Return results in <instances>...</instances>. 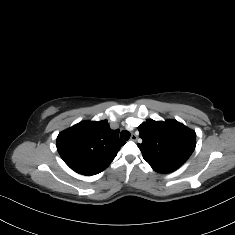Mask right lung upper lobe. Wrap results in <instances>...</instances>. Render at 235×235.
Here are the masks:
<instances>
[{"instance_id": "1", "label": "right lung upper lobe", "mask_w": 235, "mask_h": 235, "mask_svg": "<svg viewBox=\"0 0 235 235\" xmlns=\"http://www.w3.org/2000/svg\"><path fill=\"white\" fill-rule=\"evenodd\" d=\"M107 120L82 121L57 137V150L75 172L90 176L105 170L125 144Z\"/></svg>"}]
</instances>
